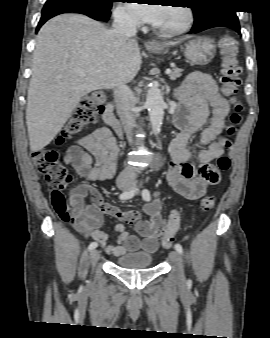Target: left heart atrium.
<instances>
[{
    "label": "left heart atrium",
    "mask_w": 270,
    "mask_h": 338,
    "mask_svg": "<svg viewBox=\"0 0 270 338\" xmlns=\"http://www.w3.org/2000/svg\"><path fill=\"white\" fill-rule=\"evenodd\" d=\"M130 6L143 21L151 24L158 21L162 12L161 5L130 3Z\"/></svg>",
    "instance_id": "1"
}]
</instances>
